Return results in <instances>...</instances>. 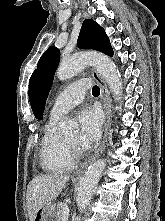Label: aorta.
Masks as SVG:
<instances>
[{
    "mask_svg": "<svg viewBox=\"0 0 165 221\" xmlns=\"http://www.w3.org/2000/svg\"><path fill=\"white\" fill-rule=\"evenodd\" d=\"M87 65H93L109 85L114 98L119 100L122 96V82L120 73L115 63L106 55L101 53L78 54L63 60L59 65L56 75L61 81L70 79L78 74ZM77 124L65 119L61 125L63 133L72 132ZM106 163L104 160L94 162L82 176L77 193V206L80 212H84L93 196V190L98 184Z\"/></svg>",
    "mask_w": 165,
    "mask_h": 221,
    "instance_id": "1",
    "label": "aorta"
}]
</instances>
